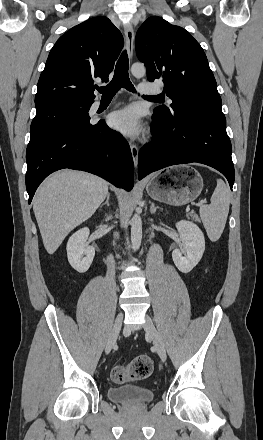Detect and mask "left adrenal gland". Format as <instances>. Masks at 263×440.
<instances>
[{"label":"left adrenal gland","instance_id":"obj_1","mask_svg":"<svg viewBox=\"0 0 263 440\" xmlns=\"http://www.w3.org/2000/svg\"><path fill=\"white\" fill-rule=\"evenodd\" d=\"M157 209H159L160 211H163V208L159 207V206H155V204L152 202L151 203V207H150V212L151 214H155Z\"/></svg>","mask_w":263,"mask_h":440}]
</instances>
